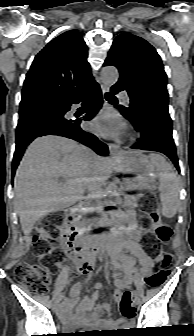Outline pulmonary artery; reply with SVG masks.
Segmentation results:
<instances>
[{
	"label": "pulmonary artery",
	"mask_w": 194,
	"mask_h": 336,
	"mask_svg": "<svg viewBox=\"0 0 194 336\" xmlns=\"http://www.w3.org/2000/svg\"><path fill=\"white\" fill-rule=\"evenodd\" d=\"M119 96L121 97V100L125 103V104H129L130 103V98L123 92L119 93Z\"/></svg>",
	"instance_id": "e3ab8cb5"
}]
</instances>
